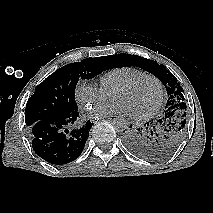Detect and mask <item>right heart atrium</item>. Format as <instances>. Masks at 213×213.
<instances>
[{"instance_id": "1", "label": "right heart atrium", "mask_w": 213, "mask_h": 213, "mask_svg": "<svg viewBox=\"0 0 213 213\" xmlns=\"http://www.w3.org/2000/svg\"><path fill=\"white\" fill-rule=\"evenodd\" d=\"M109 95L93 81H81L75 87V99L79 107L90 109L96 104L104 103Z\"/></svg>"}]
</instances>
